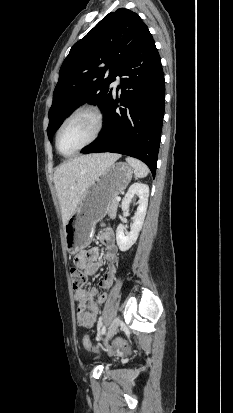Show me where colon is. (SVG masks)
Returning a JSON list of instances; mask_svg holds the SVG:
<instances>
[{
	"mask_svg": "<svg viewBox=\"0 0 233 413\" xmlns=\"http://www.w3.org/2000/svg\"><path fill=\"white\" fill-rule=\"evenodd\" d=\"M71 279H72L73 289L75 291H80L85 285L87 277H86V274L83 271H81L78 267H73L71 268ZM82 343L86 350L88 351L94 350V346L92 345V342L88 335H85L83 337ZM116 347L123 351L129 350L127 343L122 340H119L116 342Z\"/></svg>",
	"mask_w": 233,
	"mask_h": 413,
	"instance_id": "1",
	"label": "colon"
}]
</instances>
